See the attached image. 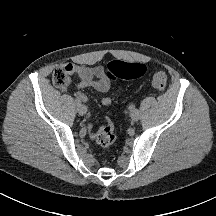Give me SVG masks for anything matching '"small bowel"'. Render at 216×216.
I'll return each mask as SVG.
<instances>
[{
    "label": "small bowel",
    "instance_id": "c3829d8e",
    "mask_svg": "<svg viewBox=\"0 0 216 216\" xmlns=\"http://www.w3.org/2000/svg\"><path fill=\"white\" fill-rule=\"evenodd\" d=\"M71 73L74 74L78 80L77 91L75 97L83 102H88L87 96L83 93V89L91 87L99 92L107 93L110 90V82L105 76V71L102 66H86L68 64ZM102 104L107 106L112 103V97L106 95L101 100ZM97 130L90 129V135L95 138Z\"/></svg>",
    "mask_w": 216,
    "mask_h": 216
}]
</instances>
